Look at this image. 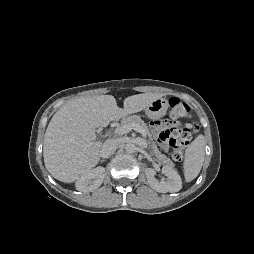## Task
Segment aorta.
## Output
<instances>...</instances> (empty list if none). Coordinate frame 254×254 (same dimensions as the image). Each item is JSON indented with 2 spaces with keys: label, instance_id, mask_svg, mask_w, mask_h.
I'll return each instance as SVG.
<instances>
[{
  "label": "aorta",
  "instance_id": "762f6f07",
  "mask_svg": "<svg viewBox=\"0 0 254 254\" xmlns=\"http://www.w3.org/2000/svg\"><path fill=\"white\" fill-rule=\"evenodd\" d=\"M135 150H136V146H135L133 143H127V144L125 145V151H126L127 153H134Z\"/></svg>",
  "mask_w": 254,
  "mask_h": 254
}]
</instances>
